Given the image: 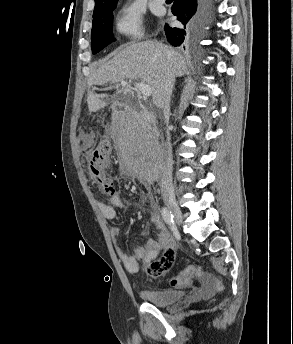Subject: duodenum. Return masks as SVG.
Here are the masks:
<instances>
[{"label":"duodenum","mask_w":293,"mask_h":344,"mask_svg":"<svg viewBox=\"0 0 293 344\" xmlns=\"http://www.w3.org/2000/svg\"><path fill=\"white\" fill-rule=\"evenodd\" d=\"M114 113L116 116H123L124 120L126 121L136 122L138 119H141L143 122H145L149 126H153L154 124V120L152 116L145 111H142L138 113L137 115H133V114L127 113L122 106L118 105L115 107Z\"/></svg>","instance_id":"1"}]
</instances>
